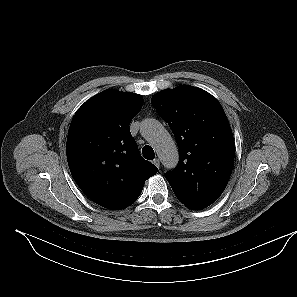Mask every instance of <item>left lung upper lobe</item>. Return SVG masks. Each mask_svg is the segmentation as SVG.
Wrapping results in <instances>:
<instances>
[{
  "instance_id": "1",
  "label": "left lung upper lobe",
  "mask_w": 297,
  "mask_h": 297,
  "mask_svg": "<svg viewBox=\"0 0 297 297\" xmlns=\"http://www.w3.org/2000/svg\"><path fill=\"white\" fill-rule=\"evenodd\" d=\"M151 103L169 124L179 148V163L166 179L186 207H208L225 190L234 163V139L222 106L190 85L158 92Z\"/></svg>"
}]
</instances>
